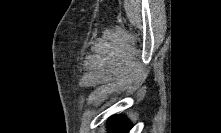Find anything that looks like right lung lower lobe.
Instances as JSON below:
<instances>
[{"mask_svg": "<svg viewBox=\"0 0 221 133\" xmlns=\"http://www.w3.org/2000/svg\"><path fill=\"white\" fill-rule=\"evenodd\" d=\"M110 133H128L131 124L123 117H114L109 119Z\"/></svg>", "mask_w": 221, "mask_h": 133, "instance_id": "obj_1", "label": "right lung lower lobe"}]
</instances>
